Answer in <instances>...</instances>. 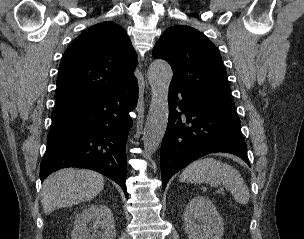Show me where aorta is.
Returning a JSON list of instances; mask_svg holds the SVG:
<instances>
[{"label": "aorta", "mask_w": 304, "mask_h": 239, "mask_svg": "<svg viewBox=\"0 0 304 239\" xmlns=\"http://www.w3.org/2000/svg\"><path fill=\"white\" fill-rule=\"evenodd\" d=\"M173 73L164 60H154L148 70V81L152 91L151 104L144 128L143 144L145 156H151L159 147L168 124V92Z\"/></svg>", "instance_id": "obj_1"}]
</instances>
